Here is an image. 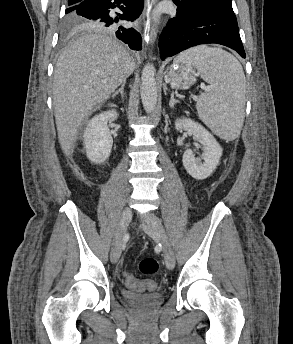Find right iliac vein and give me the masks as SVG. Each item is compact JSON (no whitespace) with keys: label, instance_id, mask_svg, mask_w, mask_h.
Returning <instances> with one entry per match:
<instances>
[{"label":"right iliac vein","instance_id":"1","mask_svg":"<svg viewBox=\"0 0 293 344\" xmlns=\"http://www.w3.org/2000/svg\"><path fill=\"white\" fill-rule=\"evenodd\" d=\"M131 218L132 210L129 207H127L122 212L113 240V245L110 253L111 261L113 263H116L120 258L122 238L126 232L129 222L131 221Z\"/></svg>","mask_w":293,"mask_h":344}]
</instances>
